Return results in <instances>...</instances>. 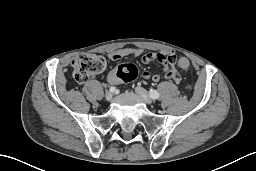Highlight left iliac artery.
<instances>
[{
    "label": "left iliac artery",
    "instance_id": "left-iliac-artery-1",
    "mask_svg": "<svg viewBox=\"0 0 256 171\" xmlns=\"http://www.w3.org/2000/svg\"><path fill=\"white\" fill-rule=\"evenodd\" d=\"M150 97L152 98V99H158L159 98V93L156 91V90H150Z\"/></svg>",
    "mask_w": 256,
    "mask_h": 171
}]
</instances>
